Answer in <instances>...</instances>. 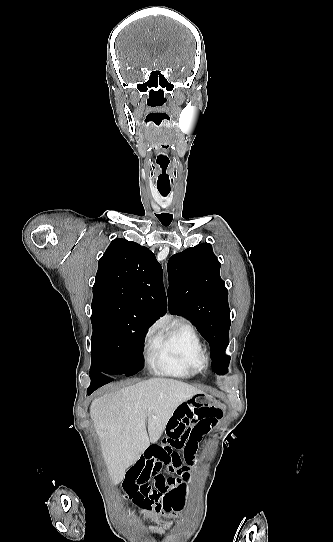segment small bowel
I'll list each match as a JSON object with an SVG mask.
<instances>
[{
  "mask_svg": "<svg viewBox=\"0 0 333 542\" xmlns=\"http://www.w3.org/2000/svg\"><path fill=\"white\" fill-rule=\"evenodd\" d=\"M223 415L221 409L200 405L197 400H184L182 405L173 408L162 444L149 446L125 475L134 483L132 499L139 507L141 517L158 522L150 528L151 532L164 534L166 529L174 526L173 522L164 519L166 516L171 520L173 515L163 502L166 497H180L182 483L188 478L179 452L187 463H192L201 441L208 440L204 436L214 429ZM164 466L177 473L178 477H166L162 473ZM175 517L179 519L181 516L177 514Z\"/></svg>",
  "mask_w": 333,
  "mask_h": 542,
  "instance_id": "c3829d8e",
  "label": "small bowel"
}]
</instances>
